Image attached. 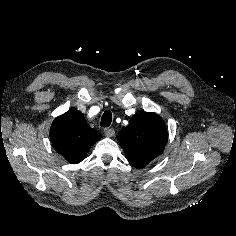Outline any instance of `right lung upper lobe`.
<instances>
[{"instance_id": "right-lung-upper-lobe-1", "label": "right lung upper lobe", "mask_w": 236, "mask_h": 236, "mask_svg": "<svg viewBox=\"0 0 236 236\" xmlns=\"http://www.w3.org/2000/svg\"><path fill=\"white\" fill-rule=\"evenodd\" d=\"M101 138L78 110H70L52 123L50 139L55 150L69 163L81 162L91 145Z\"/></svg>"}]
</instances>
